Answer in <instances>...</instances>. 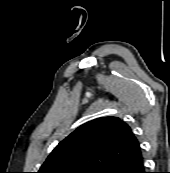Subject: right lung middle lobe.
<instances>
[{
    "mask_svg": "<svg viewBox=\"0 0 170 173\" xmlns=\"http://www.w3.org/2000/svg\"><path fill=\"white\" fill-rule=\"evenodd\" d=\"M67 173H87L86 171H67Z\"/></svg>",
    "mask_w": 170,
    "mask_h": 173,
    "instance_id": "right-lung-middle-lobe-1",
    "label": "right lung middle lobe"
}]
</instances>
